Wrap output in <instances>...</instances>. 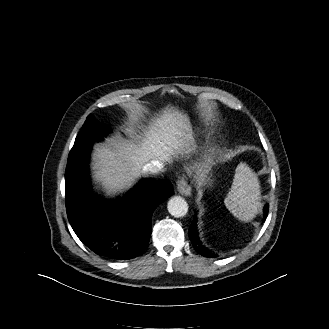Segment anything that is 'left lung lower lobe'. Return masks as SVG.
<instances>
[{
	"label": "left lung lower lobe",
	"instance_id": "left-lung-lower-lobe-1",
	"mask_svg": "<svg viewBox=\"0 0 329 329\" xmlns=\"http://www.w3.org/2000/svg\"><path fill=\"white\" fill-rule=\"evenodd\" d=\"M264 213H265V217L268 214V205L265 206L264 209ZM189 238L191 240V242L193 243V247L194 249L201 255L205 256V257H215L216 255H214L213 253H211L209 250H207L199 241L198 238V231L196 229V222L194 221L190 227L189 230Z\"/></svg>",
	"mask_w": 329,
	"mask_h": 329
}]
</instances>
